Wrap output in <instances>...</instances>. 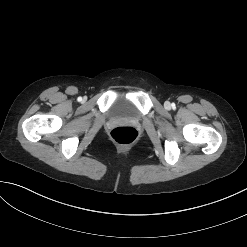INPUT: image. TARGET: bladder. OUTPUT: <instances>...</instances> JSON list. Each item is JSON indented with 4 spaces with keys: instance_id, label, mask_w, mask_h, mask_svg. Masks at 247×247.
<instances>
[{
    "instance_id": "bladder-1",
    "label": "bladder",
    "mask_w": 247,
    "mask_h": 247,
    "mask_svg": "<svg viewBox=\"0 0 247 247\" xmlns=\"http://www.w3.org/2000/svg\"><path fill=\"white\" fill-rule=\"evenodd\" d=\"M110 112L113 117H133L136 114V108L131 101L121 95L112 104Z\"/></svg>"
}]
</instances>
